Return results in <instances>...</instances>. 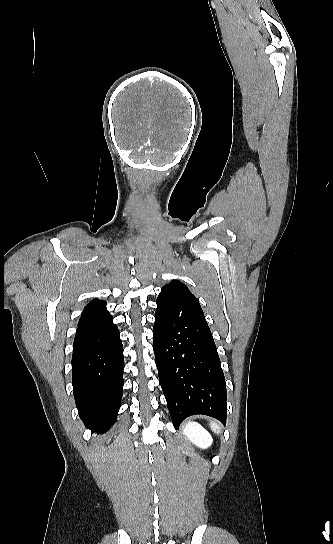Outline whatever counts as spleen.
<instances>
[{
  "label": "spleen",
  "instance_id": "spleen-1",
  "mask_svg": "<svg viewBox=\"0 0 333 544\" xmlns=\"http://www.w3.org/2000/svg\"><path fill=\"white\" fill-rule=\"evenodd\" d=\"M210 427L215 433H219L220 427L216 422L210 423Z\"/></svg>",
  "mask_w": 333,
  "mask_h": 544
}]
</instances>
